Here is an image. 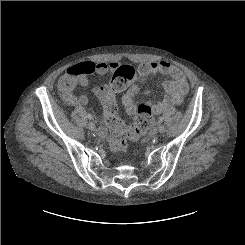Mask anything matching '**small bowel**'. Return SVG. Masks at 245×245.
Masks as SVG:
<instances>
[{"instance_id":"small-bowel-1","label":"small bowel","mask_w":245,"mask_h":245,"mask_svg":"<svg viewBox=\"0 0 245 245\" xmlns=\"http://www.w3.org/2000/svg\"><path fill=\"white\" fill-rule=\"evenodd\" d=\"M94 64V71L90 74H108L109 80L106 83L97 85L93 88L94 95L102 102L111 94V84L114 77H116L123 69L118 62H98ZM138 81L131 84L127 91L122 95V103L124 109L129 114H134L138 106V97L141 94L148 95L150 93L147 89H141V85L144 83L146 78L152 74H163L170 77L165 80L162 85L165 91V96L162 100L152 102V110L156 114L162 113L166 108L180 104L185 95L188 92V83L184 73L167 61H149L141 63L137 68ZM75 75L70 69L60 78L59 88L62 93V99L71 106L85 105L88 103L89 98L86 95L76 96L74 94L75 85L70 89L63 87V82ZM88 83L87 76L81 81V84L86 85ZM108 128L101 127L99 135L105 137L108 135Z\"/></svg>"}]
</instances>
